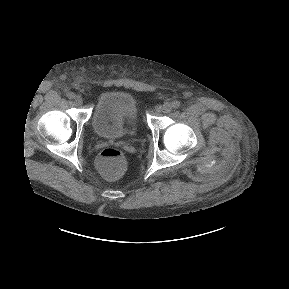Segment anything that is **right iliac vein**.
<instances>
[{
    "instance_id": "63e3f726",
    "label": "right iliac vein",
    "mask_w": 289,
    "mask_h": 289,
    "mask_svg": "<svg viewBox=\"0 0 289 289\" xmlns=\"http://www.w3.org/2000/svg\"><path fill=\"white\" fill-rule=\"evenodd\" d=\"M75 103L78 104V105H81L83 103V99L81 96L77 95L75 97Z\"/></svg>"
}]
</instances>
